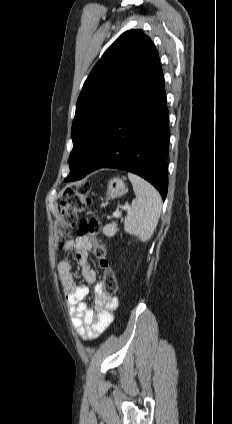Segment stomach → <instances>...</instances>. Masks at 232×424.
<instances>
[{
	"instance_id": "0dacf381",
	"label": "stomach",
	"mask_w": 232,
	"mask_h": 424,
	"mask_svg": "<svg viewBox=\"0 0 232 424\" xmlns=\"http://www.w3.org/2000/svg\"><path fill=\"white\" fill-rule=\"evenodd\" d=\"M126 193L124 182L119 178H113L109 181L107 189V200L115 199Z\"/></svg>"
}]
</instances>
